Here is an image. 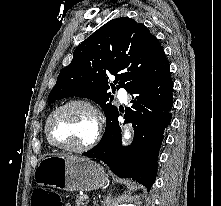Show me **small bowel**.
I'll return each mask as SVG.
<instances>
[{
  "label": "small bowel",
  "mask_w": 221,
  "mask_h": 206,
  "mask_svg": "<svg viewBox=\"0 0 221 206\" xmlns=\"http://www.w3.org/2000/svg\"><path fill=\"white\" fill-rule=\"evenodd\" d=\"M64 206H71V205H69V204H65Z\"/></svg>",
  "instance_id": "1"
}]
</instances>
